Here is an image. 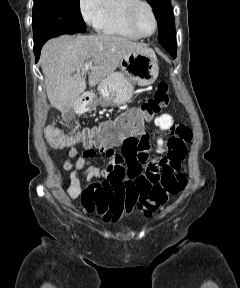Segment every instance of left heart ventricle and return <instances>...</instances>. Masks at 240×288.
I'll use <instances>...</instances> for the list:
<instances>
[{"instance_id":"obj_1","label":"left heart ventricle","mask_w":240,"mask_h":288,"mask_svg":"<svg viewBox=\"0 0 240 288\" xmlns=\"http://www.w3.org/2000/svg\"><path fill=\"white\" fill-rule=\"evenodd\" d=\"M135 25L138 31L144 35H149L154 31L155 23L149 9L141 6L135 16Z\"/></svg>"}]
</instances>
